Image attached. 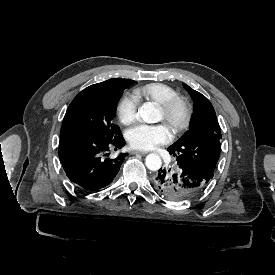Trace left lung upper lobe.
Masks as SVG:
<instances>
[{
    "instance_id": "left-lung-upper-lobe-1",
    "label": "left lung upper lobe",
    "mask_w": 275,
    "mask_h": 275,
    "mask_svg": "<svg viewBox=\"0 0 275 275\" xmlns=\"http://www.w3.org/2000/svg\"><path fill=\"white\" fill-rule=\"evenodd\" d=\"M194 101L191 128L168 151L183 165L206 180L213 178L220 156L221 133L215 110L201 93L183 84Z\"/></svg>"
}]
</instances>
